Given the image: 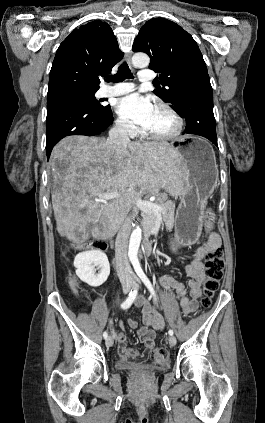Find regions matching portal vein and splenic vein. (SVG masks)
<instances>
[{"mask_svg": "<svg viewBox=\"0 0 265 423\" xmlns=\"http://www.w3.org/2000/svg\"><path fill=\"white\" fill-rule=\"evenodd\" d=\"M119 196H120L119 193L113 192V193L97 198L96 201L99 203H104L106 202V200L110 198H117ZM135 204L140 210H142L145 213H151V212L154 213L158 217V222H161V212H162L161 206L157 205L155 202L146 201L142 199L136 200Z\"/></svg>", "mask_w": 265, "mask_h": 423, "instance_id": "18ae733b", "label": "portal vein and splenic vein"}]
</instances>
